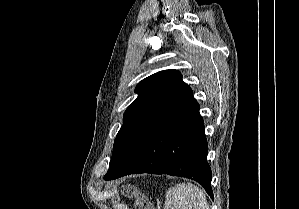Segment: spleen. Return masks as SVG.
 <instances>
[{"label":"spleen","mask_w":299,"mask_h":209,"mask_svg":"<svg viewBox=\"0 0 299 209\" xmlns=\"http://www.w3.org/2000/svg\"><path fill=\"white\" fill-rule=\"evenodd\" d=\"M164 209H209L205 192L192 183H178L166 192Z\"/></svg>","instance_id":"3e777b00"}]
</instances>
